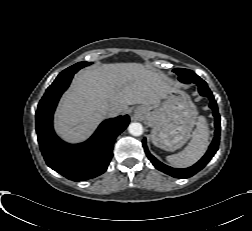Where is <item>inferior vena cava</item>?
<instances>
[{
	"label": "inferior vena cava",
	"instance_id": "obj_1",
	"mask_svg": "<svg viewBox=\"0 0 252 231\" xmlns=\"http://www.w3.org/2000/svg\"><path fill=\"white\" fill-rule=\"evenodd\" d=\"M103 113L106 116H115L118 114V109H116L114 107H106L103 109Z\"/></svg>",
	"mask_w": 252,
	"mask_h": 231
}]
</instances>
